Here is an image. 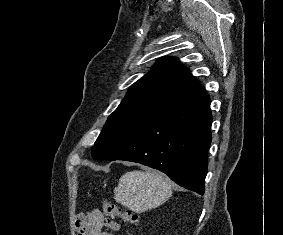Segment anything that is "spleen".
<instances>
[{"label":"spleen","instance_id":"spleen-1","mask_svg":"<svg viewBox=\"0 0 283 235\" xmlns=\"http://www.w3.org/2000/svg\"><path fill=\"white\" fill-rule=\"evenodd\" d=\"M173 183L157 172L133 170L119 179L114 199L126 208L142 213L165 203L172 195Z\"/></svg>","mask_w":283,"mask_h":235}]
</instances>
